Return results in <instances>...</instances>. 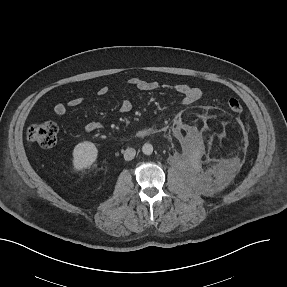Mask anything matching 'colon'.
<instances>
[{"label":"colon","instance_id":"5ec220e1","mask_svg":"<svg viewBox=\"0 0 287 287\" xmlns=\"http://www.w3.org/2000/svg\"><path fill=\"white\" fill-rule=\"evenodd\" d=\"M228 108L234 113H241L242 103L231 98L227 102ZM58 134V126L53 121H42L30 125L27 129V139L42 148H51L55 145Z\"/></svg>","mask_w":287,"mask_h":287}]
</instances>
